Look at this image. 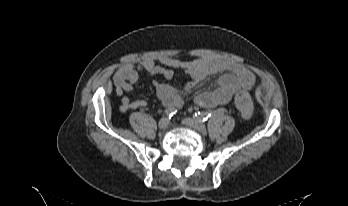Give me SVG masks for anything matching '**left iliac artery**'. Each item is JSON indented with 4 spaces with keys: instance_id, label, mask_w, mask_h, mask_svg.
Here are the masks:
<instances>
[{
    "instance_id": "obj_1",
    "label": "left iliac artery",
    "mask_w": 348,
    "mask_h": 206,
    "mask_svg": "<svg viewBox=\"0 0 348 206\" xmlns=\"http://www.w3.org/2000/svg\"><path fill=\"white\" fill-rule=\"evenodd\" d=\"M226 114V111L224 109H219V112H196L194 114V118L200 120V121H207L209 118L213 117L215 115V117H220L224 116Z\"/></svg>"
}]
</instances>
